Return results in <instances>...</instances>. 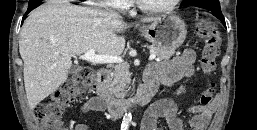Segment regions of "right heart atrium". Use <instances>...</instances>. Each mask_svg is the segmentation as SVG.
<instances>
[{
  "label": "right heart atrium",
  "mask_w": 257,
  "mask_h": 130,
  "mask_svg": "<svg viewBox=\"0 0 257 130\" xmlns=\"http://www.w3.org/2000/svg\"><path fill=\"white\" fill-rule=\"evenodd\" d=\"M131 2L132 0H103L100 2V4L103 6L124 10L130 6Z\"/></svg>",
  "instance_id": "obj_1"
}]
</instances>
